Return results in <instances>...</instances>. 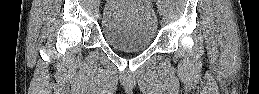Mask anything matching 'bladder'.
<instances>
[{
  "label": "bladder",
  "instance_id": "bladder-1",
  "mask_svg": "<svg viewBox=\"0 0 259 94\" xmlns=\"http://www.w3.org/2000/svg\"><path fill=\"white\" fill-rule=\"evenodd\" d=\"M105 41L123 51H143L156 39L158 21L148 0H108L100 18Z\"/></svg>",
  "mask_w": 259,
  "mask_h": 94
}]
</instances>
